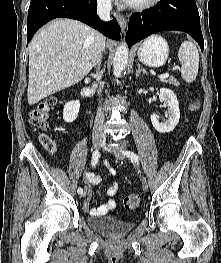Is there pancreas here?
I'll return each mask as SVG.
<instances>
[{
	"mask_svg": "<svg viewBox=\"0 0 221 263\" xmlns=\"http://www.w3.org/2000/svg\"><path fill=\"white\" fill-rule=\"evenodd\" d=\"M167 82H168L169 84H172V85L176 86V87H178V86L180 85V83H179V82L177 81V79L174 78V77H170V78L167 80Z\"/></svg>",
	"mask_w": 221,
	"mask_h": 263,
	"instance_id": "1",
	"label": "pancreas"
}]
</instances>
